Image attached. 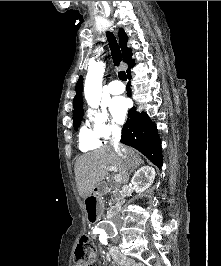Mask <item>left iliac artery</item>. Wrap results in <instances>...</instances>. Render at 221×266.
Returning <instances> with one entry per match:
<instances>
[{
    "instance_id": "1",
    "label": "left iliac artery",
    "mask_w": 221,
    "mask_h": 266,
    "mask_svg": "<svg viewBox=\"0 0 221 266\" xmlns=\"http://www.w3.org/2000/svg\"><path fill=\"white\" fill-rule=\"evenodd\" d=\"M99 240L102 244H107V236L106 233L101 232L99 236Z\"/></svg>"
}]
</instances>
